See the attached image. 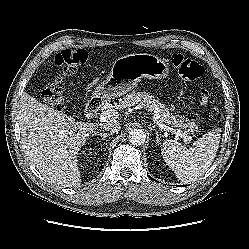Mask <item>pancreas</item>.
Segmentation results:
<instances>
[{"label": "pancreas", "instance_id": "cf45deb5", "mask_svg": "<svg viewBox=\"0 0 249 249\" xmlns=\"http://www.w3.org/2000/svg\"><path fill=\"white\" fill-rule=\"evenodd\" d=\"M136 104L142 105L150 111L156 110L160 122H165L174 127H183L186 132H193L197 128L194 122L184 123L185 119L182 116L178 117L170 113L164 104L160 103L159 100H156L154 96L147 92H131L120 101L119 107L125 108Z\"/></svg>", "mask_w": 249, "mask_h": 249}]
</instances>
